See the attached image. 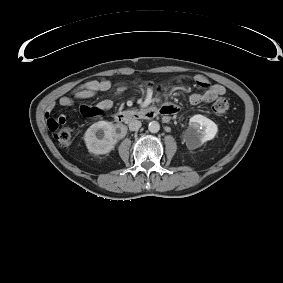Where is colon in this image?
<instances>
[{
	"instance_id": "colon-1",
	"label": "colon",
	"mask_w": 283,
	"mask_h": 283,
	"mask_svg": "<svg viewBox=\"0 0 283 283\" xmlns=\"http://www.w3.org/2000/svg\"><path fill=\"white\" fill-rule=\"evenodd\" d=\"M230 105L225 98H218L212 105V110L217 115H225L229 112ZM57 143L61 147H67L71 144L73 139V130L69 127H58L52 129Z\"/></svg>"
}]
</instances>
